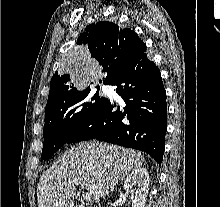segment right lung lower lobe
I'll list each match as a JSON object with an SVG mask.
<instances>
[{"label": "right lung lower lobe", "instance_id": "1", "mask_svg": "<svg viewBox=\"0 0 220 207\" xmlns=\"http://www.w3.org/2000/svg\"><path fill=\"white\" fill-rule=\"evenodd\" d=\"M125 106L108 99L100 109L70 137L68 143L98 139L124 147L142 150L159 164L164 154L167 130L166 91L155 63L143 53L109 83Z\"/></svg>", "mask_w": 220, "mask_h": 207}]
</instances>
